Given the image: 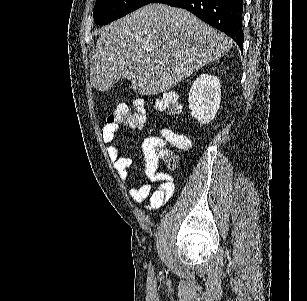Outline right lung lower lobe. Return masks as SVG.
<instances>
[{
    "instance_id": "right-lung-lower-lobe-1",
    "label": "right lung lower lobe",
    "mask_w": 307,
    "mask_h": 301,
    "mask_svg": "<svg viewBox=\"0 0 307 301\" xmlns=\"http://www.w3.org/2000/svg\"><path fill=\"white\" fill-rule=\"evenodd\" d=\"M184 8L230 36L243 49V0H151Z\"/></svg>"
}]
</instances>
